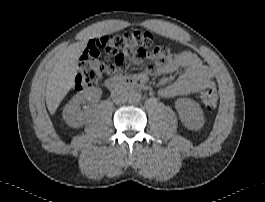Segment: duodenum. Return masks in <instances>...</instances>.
<instances>
[{
	"instance_id": "410a0bca",
	"label": "duodenum",
	"mask_w": 265,
	"mask_h": 202,
	"mask_svg": "<svg viewBox=\"0 0 265 202\" xmlns=\"http://www.w3.org/2000/svg\"><path fill=\"white\" fill-rule=\"evenodd\" d=\"M107 89L110 92L116 93L123 88L131 90H142L147 89V86L141 81L135 80L125 75H116L110 77L105 82Z\"/></svg>"
}]
</instances>
